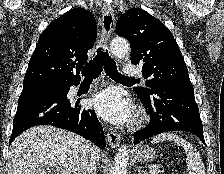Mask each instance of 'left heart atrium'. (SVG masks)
Returning <instances> with one entry per match:
<instances>
[{
	"mask_svg": "<svg viewBox=\"0 0 224 174\" xmlns=\"http://www.w3.org/2000/svg\"><path fill=\"white\" fill-rule=\"evenodd\" d=\"M91 105L105 120L126 124L133 119V106L117 89H106L91 99Z\"/></svg>",
	"mask_w": 224,
	"mask_h": 174,
	"instance_id": "obj_1",
	"label": "left heart atrium"
}]
</instances>
